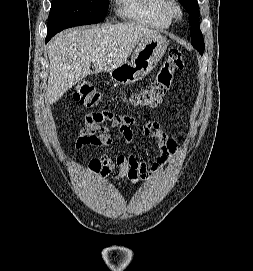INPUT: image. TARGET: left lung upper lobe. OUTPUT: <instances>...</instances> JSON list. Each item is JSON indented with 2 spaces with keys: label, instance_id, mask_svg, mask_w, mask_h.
<instances>
[{
  "label": "left lung upper lobe",
  "instance_id": "left-lung-upper-lobe-1",
  "mask_svg": "<svg viewBox=\"0 0 253 271\" xmlns=\"http://www.w3.org/2000/svg\"><path fill=\"white\" fill-rule=\"evenodd\" d=\"M186 11L189 13V24L191 25V43L202 55L205 49L202 32L199 23V5L197 0H180Z\"/></svg>",
  "mask_w": 253,
  "mask_h": 271
}]
</instances>
